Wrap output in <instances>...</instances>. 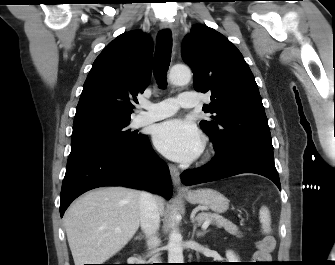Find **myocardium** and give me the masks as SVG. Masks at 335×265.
<instances>
[{"mask_svg":"<svg viewBox=\"0 0 335 265\" xmlns=\"http://www.w3.org/2000/svg\"><path fill=\"white\" fill-rule=\"evenodd\" d=\"M209 157H210V151L207 150V151L204 153L203 159H204V160H207Z\"/></svg>","mask_w":335,"mask_h":265,"instance_id":"f54148a6","label":"myocardium"}]
</instances>
